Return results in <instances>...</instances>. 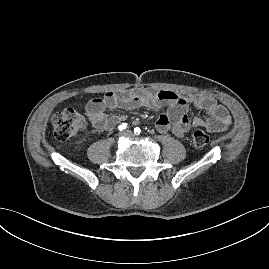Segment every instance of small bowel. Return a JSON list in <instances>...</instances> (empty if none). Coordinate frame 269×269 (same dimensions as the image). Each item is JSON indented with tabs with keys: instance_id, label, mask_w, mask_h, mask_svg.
Here are the masks:
<instances>
[{
	"instance_id": "obj_1",
	"label": "small bowel",
	"mask_w": 269,
	"mask_h": 269,
	"mask_svg": "<svg viewBox=\"0 0 269 269\" xmlns=\"http://www.w3.org/2000/svg\"><path fill=\"white\" fill-rule=\"evenodd\" d=\"M167 105L165 112L156 115V129L160 133L172 132L177 137H184L191 128H205L209 132L226 130L231 124L227 109L213 97L202 94L179 95L169 90H129L106 92L103 97L91 100L85 112L93 126L99 130H110L124 120L107 111L117 108L135 109L141 106L159 109ZM192 105L206 113L205 118H190L187 114Z\"/></svg>"
}]
</instances>
